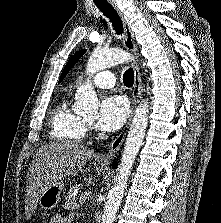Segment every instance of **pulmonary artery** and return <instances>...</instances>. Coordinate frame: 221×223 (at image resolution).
I'll list each match as a JSON object with an SVG mask.
<instances>
[{
	"label": "pulmonary artery",
	"mask_w": 221,
	"mask_h": 223,
	"mask_svg": "<svg viewBox=\"0 0 221 223\" xmlns=\"http://www.w3.org/2000/svg\"><path fill=\"white\" fill-rule=\"evenodd\" d=\"M92 84L99 88H112L115 85V74L111 71H100L92 78Z\"/></svg>",
	"instance_id": "obj_1"
}]
</instances>
